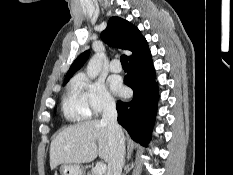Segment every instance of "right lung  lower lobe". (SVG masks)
<instances>
[{
    "label": "right lung lower lobe",
    "mask_w": 233,
    "mask_h": 175,
    "mask_svg": "<svg viewBox=\"0 0 233 175\" xmlns=\"http://www.w3.org/2000/svg\"><path fill=\"white\" fill-rule=\"evenodd\" d=\"M154 79L155 71L148 50L130 60V70L124 77L125 84L134 92L133 99L129 102L119 100L116 105L118 123L134 141L146 146L150 141L158 102V88Z\"/></svg>",
    "instance_id": "98d812e1"
}]
</instances>
